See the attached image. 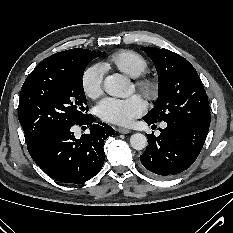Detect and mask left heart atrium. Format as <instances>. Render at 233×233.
<instances>
[{
	"instance_id": "39dd6f15",
	"label": "left heart atrium",
	"mask_w": 233,
	"mask_h": 233,
	"mask_svg": "<svg viewBox=\"0 0 233 233\" xmlns=\"http://www.w3.org/2000/svg\"><path fill=\"white\" fill-rule=\"evenodd\" d=\"M145 109V102L138 95L124 99L106 97L97 105V114L106 122L128 125L139 117Z\"/></svg>"
}]
</instances>
